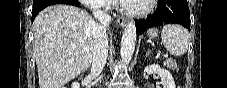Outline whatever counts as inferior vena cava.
Masks as SVG:
<instances>
[{
	"mask_svg": "<svg viewBox=\"0 0 227 88\" xmlns=\"http://www.w3.org/2000/svg\"><path fill=\"white\" fill-rule=\"evenodd\" d=\"M101 8V4H94L91 6L92 13L99 22L94 33L93 60L91 67V73L94 76H98L102 72L108 57L107 28L111 22V17Z\"/></svg>",
	"mask_w": 227,
	"mask_h": 88,
	"instance_id": "obj_1",
	"label": "inferior vena cava"
}]
</instances>
